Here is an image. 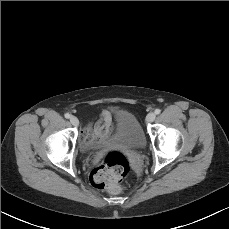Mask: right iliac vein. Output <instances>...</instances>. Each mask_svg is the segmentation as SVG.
Masks as SVG:
<instances>
[{"label":"right iliac vein","mask_w":229,"mask_h":229,"mask_svg":"<svg viewBox=\"0 0 229 229\" xmlns=\"http://www.w3.org/2000/svg\"><path fill=\"white\" fill-rule=\"evenodd\" d=\"M70 122H71V124L74 125V126H78V125H79V120H78V118L75 117V116H71V117H70Z\"/></svg>","instance_id":"1"}]
</instances>
